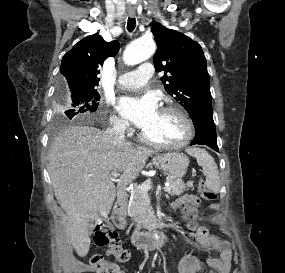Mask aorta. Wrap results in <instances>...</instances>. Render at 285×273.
Segmentation results:
<instances>
[{
    "label": "aorta",
    "instance_id": "aorta-1",
    "mask_svg": "<svg viewBox=\"0 0 285 273\" xmlns=\"http://www.w3.org/2000/svg\"><path fill=\"white\" fill-rule=\"evenodd\" d=\"M156 51V44L152 39L142 38L132 42L124 51V62L136 65L149 59Z\"/></svg>",
    "mask_w": 285,
    "mask_h": 273
}]
</instances>
